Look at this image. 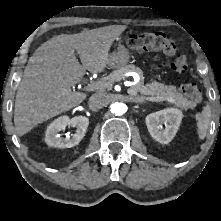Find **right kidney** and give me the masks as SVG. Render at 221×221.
I'll list each match as a JSON object with an SVG mask.
<instances>
[{"mask_svg":"<svg viewBox=\"0 0 221 221\" xmlns=\"http://www.w3.org/2000/svg\"><path fill=\"white\" fill-rule=\"evenodd\" d=\"M89 119L84 116H75L69 118L68 116H61L55 119L46 129L45 142L47 145L58 148H71L78 145L84 137ZM66 126L76 127V133L71 137L63 138L59 132L65 130Z\"/></svg>","mask_w":221,"mask_h":221,"instance_id":"right-kidney-1","label":"right kidney"}]
</instances>
